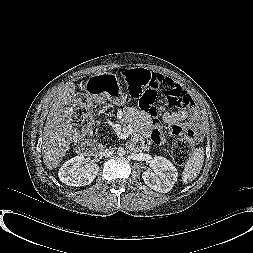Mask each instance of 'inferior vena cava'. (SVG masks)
<instances>
[{
  "mask_svg": "<svg viewBox=\"0 0 253 253\" xmlns=\"http://www.w3.org/2000/svg\"><path fill=\"white\" fill-rule=\"evenodd\" d=\"M112 154H113V151H111V150L104 152V156H106L107 158H110L112 156Z\"/></svg>",
  "mask_w": 253,
  "mask_h": 253,
  "instance_id": "obj_1",
  "label": "inferior vena cava"
}]
</instances>
